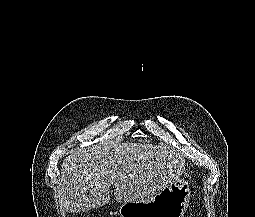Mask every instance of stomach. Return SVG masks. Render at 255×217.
<instances>
[{"instance_id": "0dacf381", "label": "stomach", "mask_w": 255, "mask_h": 217, "mask_svg": "<svg viewBox=\"0 0 255 217\" xmlns=\"http://www.w3.org/2000/svg\"><path fill=\"white\" fill-rule=\"evenodd\" d=\"M190 200L188 182L178 179L151 199L123 203L121 217H183Z\"/></svg>"}]
</instances>
